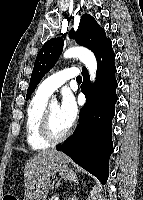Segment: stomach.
Masks as SVG:
<instances>
[{"label":"stomach","mask_w":143,"mask_h":200,"mask_svg":"<svg viewBox=\"0 0 143 200\" xmlns=\"http://www.w3.org/2000/svg\"><path fill=\"white\" fill-rule=\"evenodd\" d=\"M59 174L65 180H70V181L77 180V175L74 173L72 169L68 168L66 165L61 167V169L59 170Z\"/></svg>","instance_id":"0dacf381"}]
</instances>
